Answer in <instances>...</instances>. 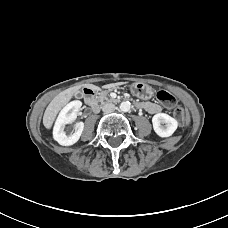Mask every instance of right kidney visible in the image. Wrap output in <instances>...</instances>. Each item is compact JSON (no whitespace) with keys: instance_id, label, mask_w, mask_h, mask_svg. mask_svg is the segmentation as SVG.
I'll return each instance as SVG.
<instances>
[{"instance_id":"ca27d5eb","label":"right kidney","mask_w":228,"mask_h":228,"mask_svg":"<svg viewBox=\"0 0 228 228\" xmlns=\"http://www.w3.org/2000/svg\"><path fill=\"white\" fill-rule=\"evenodd\" d=\"M82 102L79 100L68 103L59 113L53 129V138L63 146H71L79 139L84 129L83 122L75 124V132L67 135L64 131L67 124L73 123L77 117V112L80 110Z\"/></svg>"}]
</instances>
